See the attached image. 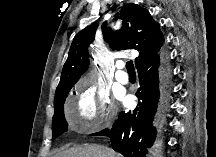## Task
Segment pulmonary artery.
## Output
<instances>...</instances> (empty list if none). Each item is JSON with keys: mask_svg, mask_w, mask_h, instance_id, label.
Listing matches in <instances>:
<instances>
[{"mask_svg": "<svg viewBox=\"0 0 216 157\" xmlns=\"http://www.w3.org/2000/svg\"><path fill=\"white\" fill-rule=\"evenodd\" d=\"M117 72H116V79L122 84H126L128 82V75L123 69V64L117 63L116 64Z\"/></svg>", "mask_w": 216, "mask_h": 157, "instance_id": "pulmonary-artery-1", "label": "pulmonary artery"}]
</instances>
